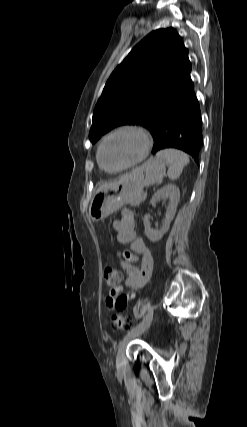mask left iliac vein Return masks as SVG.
Wrapping results in <instances>:
<instances>
[{"mask_svg": "<svg viewBox=\"0 0 247 427\" xmlns=\"http://www.w3.org/2000/svg\"><path fill=\"white\" fill-rule=\"evenodd\" d=\"M153 321V316L150 317L145 323L144 325H142L140 328L136 329L135 331H133L132 333H130L129 335H126L124 337V339L120 342L119 344V349H118V353H117V358H116V365L118 369H122L125 365L126 362V358H125V350L126 347L129 343V341H131L132 339L139 337L140 335H142L146 330H148V328L151 326Z\"/></svg>", "mask_w": 247, "mask_h": 427, "instance_id": "left-iliac-vein-1", "label": "left iliac vein"}]
</instances>
